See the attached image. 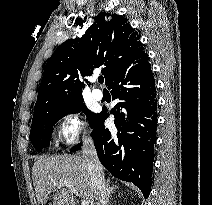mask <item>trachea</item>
<instances>
[{
    "label": "trachea",
    "mask_w": 212,
    "mask_h": 205,
    "mask_svg": "<svg viewBox=\"0 0 212 205\" xmlns=\"http://www.w3.org/2000/svg\"><path fill=\"white\" fill-rule=\"evenodd\" d=\"M98 82L99 83H103L104 82V77L103 76H99L98 77Z\"/></svg>",
    "instance_id": "3493384b"
}]
</instances>
